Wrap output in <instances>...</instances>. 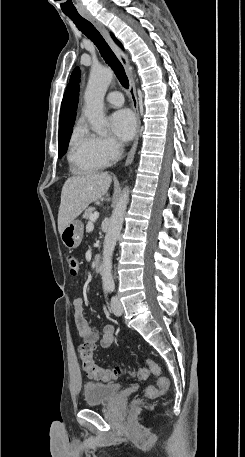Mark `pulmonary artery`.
Instances as JSON below:
<instances>
[{
    "label": "pulmonary artery",
    "instance_id": "1",
    "mask_svg": "<svg viewBox=\"0 0 245 457\" xmlns=\"http://www.w3.org/2000/svg\"><path fill=\"white\" fill-rule=\"evenodd\" d=\"M106 102L114 105V106H121L124 102L123 96L119 92H111L109 93L106 98Z\"/></svg>",
    "mask_w": 245,
    "mask_h": 457
}]
</instances>
